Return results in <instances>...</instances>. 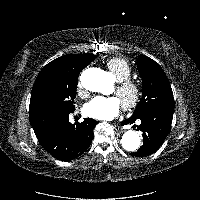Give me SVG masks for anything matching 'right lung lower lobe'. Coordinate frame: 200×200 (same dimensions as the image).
Returning <instances> with one entry per match:
<instances>
[{
  "instance_id": "98d812e1",
  "label": "right lung lower lobe",
  "mask_w": 200,
  "mask_h": 200,
  "mask_svg": "<svg viewBox=\"0 0 200 200\" xmlns=\"http://www.w3.org/2000/svg\"><path fill=\"white\" fill-rule=\"evenodd\" d=\"M73 111L55 110L29 114L39 143L52 156L62 161H71L88 149L96 125V121L91 118L71 124L69 114Z\"/></svg>"
}]
</instances>
